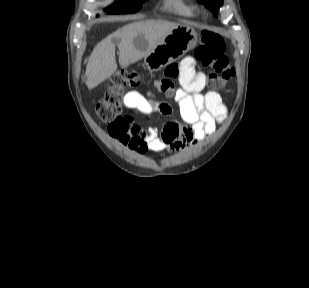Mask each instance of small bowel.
I'll use <instances>...</instances> for the list:
<instances>
[{"label": "small bowel", "mask_w": 309, "mask_h": 288, "mask_svg": "<svg viewBox=\"0 0 309 288\" xmlns=\"http://www.w3.org/2000/svg\"><path fill=\"white\" fill-rule=\"evenodd\" d=\"M172 77L179 79L180 87L174 91V98L185 125L171 121L159 132L153 127L142 128L133 122L124 124L116 121L110 124L109 134L121 145L138 154L184 150L211 136L217 125L225 120L227 108L220 94L214 91L202 93L205 75L195 69L192 57H185L179 64L170 66L166 70V78L159 82L171 86ZM124 104L147 115L168 116L172 113L167 102L156 101L150 93L129 91L124 97Z\"/></svg>", "instance_id": "1"}]
</instances>
